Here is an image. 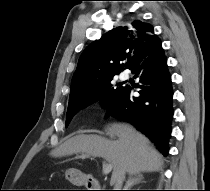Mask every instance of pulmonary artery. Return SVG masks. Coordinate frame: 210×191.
Returning <instances> with one entry per match:
<instances>
[{
  "label": "pulmonary artery",
  "instance_id": "obj_1",
  "mask_svg": "<svg viewBox=\"0 0 210 191\" xmlns=\"http://www.w3.org/2000/svg\"><path fill=\"white\" fill-rule=\"evenodd\" d=\"M127 77H128V76H127L126 74H122V75H121V79H127Z\"/></svg>",
  "mask_w": 210,
  "mask_h": 191
}]
</instances>
